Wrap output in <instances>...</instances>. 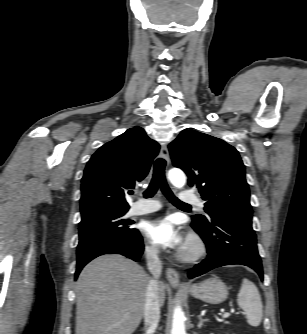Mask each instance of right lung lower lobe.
<instances>
[{
  "instance_id": "1",
  "label": "right lung lower lobe",
  "mask_w": 307,
  "mask_h": 334,
  "mask_svg": "<svg viewBox=\"0 0 307 334\" xmlns=\"http://www.w3.org/2000/svg\"><path fill=\"white\" fill-rule=\"evenodd\" d=\"M143 240L140 233L131 241L126 244L118 245V246H103L84 254L80 258L77 259V269L75 273V278L78 277L81 269L92 259L104 255V254H121L134 261H138L140 256L143 253Z\"/></svg>"
}]
</instances>
